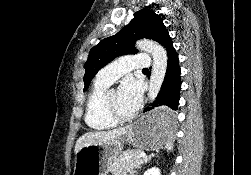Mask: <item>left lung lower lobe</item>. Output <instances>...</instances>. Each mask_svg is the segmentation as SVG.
Segmentation results:
<instances>
[{"label": "left lung lower lobe", "instance_id": "left-lung-lower-lobe-1", "mask_svg": "<svg viewBox=\"0 0 251 175\" xmlns=\"http://www.w3.org/2000/svg\"><path fill=\"white\" fill-rule=\"evenodd\" d=\"M160 44L167 50L168 63L166 75L156 100L144 112L150 111L147 123L154 126L169 125L177 120L181 89L180 67L178 54L169 34H165Z\"/></svg>", "mask_w": 251, "mask_h": 175}]
</instances>
